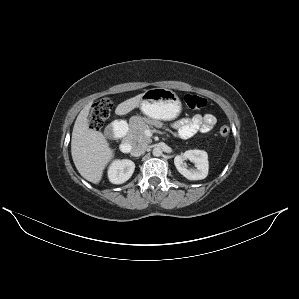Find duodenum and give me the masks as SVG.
I'll list each match as a JSON object with an SVG mask.
<instances>
[{
  "instance_id": "1",
  "label": "duodenum",
  "mask_w": 299,
  "mask_h": 299,
  "mask_svg": "<svg viewBox=\"0 0 299 299\" xmlns=\"http://www.w3.org/2000/svg\"><path fill=\"white\" fill-rule=\"evenodd\" d=\"M126 132L127 126L120 120L114 121L106 130V134L110 137H123L119 146L123 153H129L132 150V143L124 138Z\"/></svg>"
}]
</instances>
